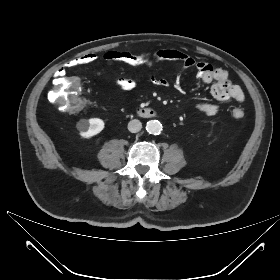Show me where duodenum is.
Segmentation results:
<instances>
[{"label": "duodenum", "mask_w": 280, "mask_h": 280, "mask_svg": "<svg viewBox=\"0 0 280 280\" xmlns=\"http://www.w3.org/2000/svg\"><path fill=\"white\" fill-rule=\"evenodd\" d=\"M138 114L144 118H151L156 115V112L151 108H140Z\"/></svg>", "instance_id": "410a0bca"}]
</instances>
